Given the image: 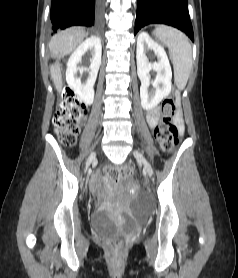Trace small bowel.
<instances>
[{
  "mask_svg": "<svg viewBox=\"0 0 238 278\" xmlns=\"http://www.w3.org/2000/svg\"><path fill=\"white\" fill-rule=\"evenodd\" d=\"M159 110L157 108L151 109L147 112V121L151 127H155L159 120Z\"/></svg>",
  "mask_w": 238,
  "mask_h": 278,
  "instance_id": "small-bowel-1",
  "label": "small bowel"
}]
</instances>
